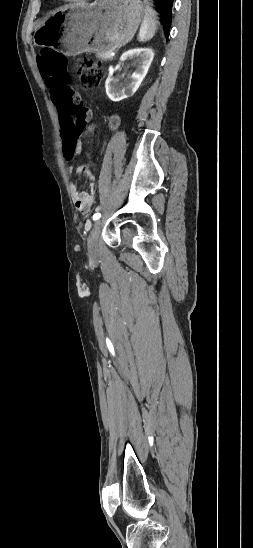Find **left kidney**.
Masks as SVG:
<instances>
[{"label":"left kidney","instance_id":"obj_1","mask_svg":"<svg viewBox=\"0 0 253 548\" xmlns=\"http://www.w3.org/2000/svg\"><path fill=\"white\" fill-rule=\"evenodd\" d=\"M153 58L154 53L149 48H137L123 53L120 61L134 60L136 70L127 84H120L118 79L113 77L115 69L112 66L109 67V74L105 82L106 94L109 99L118 102L134 95L145 78Z\"/></svg>","mask_w":253,"mask_h":548}]
</instances>
